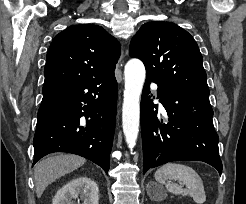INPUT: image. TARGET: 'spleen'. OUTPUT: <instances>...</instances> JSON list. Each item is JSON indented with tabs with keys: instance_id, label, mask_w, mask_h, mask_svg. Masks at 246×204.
I'll list each match as a JSON object with an SVG mask.
<instances>
[{
	"instance_id": "1",
	"label": "spleen",
	"mask_w": 246,
	"mask_h": 204,
	"mask_svg": "<svg viewBox=\"0 0 246 204\" xmlns=\"http://www.w3.org/2000/svg\"><path fill=\"white\" fill-rule=\"evenodd\" d=\"M154 177L158 183L165 185L166 189L175 195L191 196L197 204H203L206 201L201 177L193 168L187 165L167 163L157 169ZM168 179L183 182L186 188L183 189L176 183H170Z\"/></svg>"
}]
</instances>
